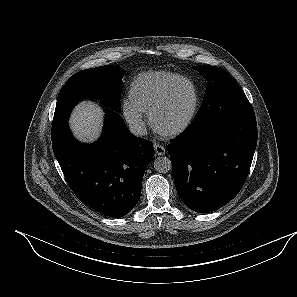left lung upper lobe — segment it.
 Masks as SVG:
<instances>
[{"mask_svg":"<svg viewBox=\"0 0 297 297\" xmlns=\"http://www.w3.org/2000/svg\"><path fill=\"white\" fill-rule=\"evenodd\" d=\"M193 69L207 80L205 96L194 120L201 117L204 108L214 113L225 105L248 102L235 81L223 69L215 66H194Z\"/></svg>","mask_w":297,"mask_h":297,"instance_id":"left-lung-upper-lobe-1","label":"left lung upper lobe"}]
</instances>
